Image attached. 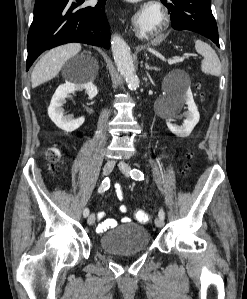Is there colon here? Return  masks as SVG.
<instances>
[{"label": "colon", "mask_w": 247, "mask_h": 299, "mask_svg": "<svg viewBox=\"0 0 247 299\" xmlns=\"http://www.w3.org/2000/svg\"><path fill=\"white\" fill-rule=\"evenodd\" d=\"M59 157H60V152L58 149L53 148V147L48 149L47 158L50 161L51 168L53 170H55V168H56V163H57ZM185 169H188V166H186ZM116 193H118L120 195L123 193L120 186H118L116 188ZM135 218L138 222L143 223V224L148 223L150 221L149 214L141 209L135 211Z\"/></svg>", "instance_id": "1"}]
</instances>
